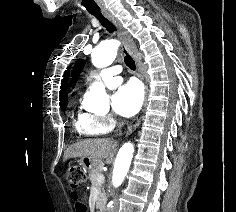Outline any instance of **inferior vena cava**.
Here are the masks:
<instances>
[{
  "label": "inferior vena cava",
  "mask_w": 236,
  "mask_h": 212,
  "mask_svg": "<svg viewBox=\"0 0 236 212\" xmlns=\"http://www.w3.org/2000/svg\"><path fill=\"white\" fill-rule=\"evenodd\" d=\"M123 125H124L123 122H121V123L118 124V129H117V131H119V134H121V127H122Z\"/></svg>",
  "instance_id": "inferior-vena-cava-1"
}]
</instances>
